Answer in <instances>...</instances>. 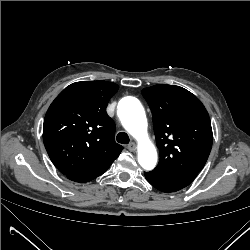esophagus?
Returning <instances> with one entry per match:
<instances>
[{"instance_id":"esophagus-1","label":"esophagus","mask_w":250,"mask_h":250,"mask_svg":"<svg viewBox=\"0 0 250 250\" xmlns=\"http://www.w3.org/2000/svg\"><path fill=\"white\" fill-rule=\"evenodd\" d=\"M127 149L129 151H135L136 150V144L134 142H131L127 145Z\"/></svg>"}]
</instances>
